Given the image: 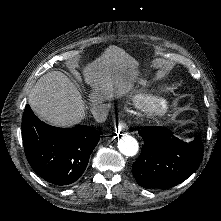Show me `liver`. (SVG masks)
Masks as SVG:
<instances>
[{
  "mask_svg": "<svg viewBox=\"0 0 221 221\" xmlns=\"http://www.w3.org/2000/svg\"><path fill=\"white\" fill-rule=\"evenodd\" d=\"M122 53H111V47L84 69L85 80L93 87L90 100L103 103L115 94H125L130 85L121 76L107 70L118 67ZM105 67V69H104ZM28 103L37 117L56 127H72L85 118L86 105L74 83L61 71L41 76L29 94Z\"/></svg>",
  "mask_w": 221,
  "mask_h": 221,
  "instance_id": "6515ba94",
  "label": "liver"
}]
</instances>
